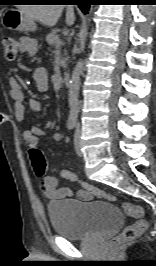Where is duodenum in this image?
<instances>
[{
    "label": "duodenum",
    "mask_w": 156,
    "mask_h": 266,
    "mask_svg": "<svg viewBox=\"0 0 156 266\" xmlns=\"http://www.w3.org/2000/svg\"><path fill=\"white\" fill-rule=\"evenodd\" d=\"M62 82L65 86H69L70 83H71V76L69 73H65L63 76H62Z\"/></svg>",
    "instance_id": "1"
}]
</instances>
